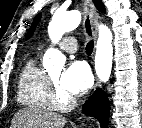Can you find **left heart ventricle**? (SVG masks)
<instances>
[{"label": "left heart ventricle", "instance_id": "1", "mask_svg": "<svg viewBox=\"0 0 142 128\" xmlns=\"http://www.w3.org/2000/svg\"><path fill=\"white\" fill-rule=\"evenodd\" d=\"M59 77H60V74H59V73L52 75V79L54 80V82H55L57 85L59 84Z\"/></svg>", "mask_w": 142, "mask_h": 128}]
</instances>
